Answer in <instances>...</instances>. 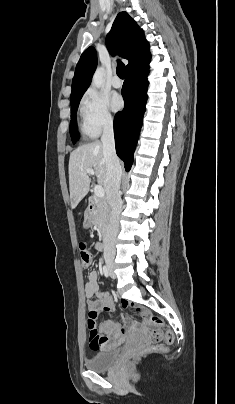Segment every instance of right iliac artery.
<instances>
[{"label": "right iliac artery", "instance_id": "1", "mask_svg": "<svg viewBox=\"0 0 235 404\" xmlns=\"http://www.w3.org/2000/svg\"><path fill=\"white\" fill-rule=\"evenodd\" d=\"M103 273L105 277H109L110 273L106 265L103 266Z\"/></svg>", "mask_w": 235, "mask_h": 404}]
</instances>
